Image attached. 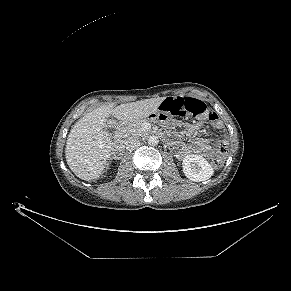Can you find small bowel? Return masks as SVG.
Here are the masks:
<instances>
[{"mask_svg": "<svg viewBox=\"0 0 291 291\" xmlns=\"http://www.w3.org/2000/svg\"><path fill=\"white\" fill-rule=\"evenodd\" d=\"M175 125H181L180 121H174L173 122ZM203 126V122H198L194 129L195 130H200L201 127ZM195 152L198 154L203 155L204 157L208 158V159H212L214 157V151L213 148L211 146V143L209 140L207 139H197L192 146L188 147V148H182L181 149V153H187V152Z\"/></svg>", "mask_w": 291, "mask_h": 291, "instance_id": "c3829d8e", "label": "small bowel"}]
</instances>
